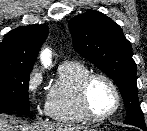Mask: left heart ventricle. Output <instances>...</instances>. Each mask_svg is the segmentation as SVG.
<instances>
[{
    "label": "left heart ventricle",
    "mask_w": 147,
    "mask_h": 131,
    "mask_svg": "<svg viewBox=\"0 0 147 131\" xmlns=\"http://www.w3.org/2000/svg\"><path fill=\"white\" fill-rule=\"evenodd\" d=\"M89 104L96 115L110 112L115 105V96L110 85L103 79H95L89 88Z\"/></svg>",
    "instance_id": "b2bd125f"
}]
</instances>
